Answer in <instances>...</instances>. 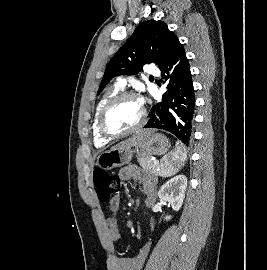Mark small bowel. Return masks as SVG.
Listing matches in <instances>:
<instances>
[{
	"instance_id": "small-bowel-1",
	"label": "small bowel",
	"mask_w": 267,
	"mask_h": 270,
	"mask_svg": "<svg viewBox=\"0 0 267 270\" xmlns=\"http://www.w3.org/2000/svg\"><path fill=\"white\" fill-rule=\"evenodd\" d=\"M122 180H135L139 185V190L145 195V204L151 207L156 201V190L153 180L143 175L137 166H126L119 172ZM110 215L106 219L107 233L109 240L114 243L119 241L121 234L118 225L117 212L120 208V198L115 196L109 202ZM151 243L147 242L140 249L135 257H115L114 264L117 270H141L147 255L149 253Z\"/></svg>"
}]
</instances>
